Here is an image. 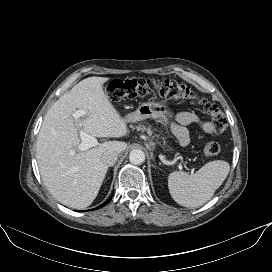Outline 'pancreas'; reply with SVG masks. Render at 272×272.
<instances>
[{
	"label": "pancreas",
	"mask_w": 272,
	"mask_h": 272,
	"mask_svg": "<svg viewBox=\"0 0 272 272\" xmlns=\"http://www.w3.org/2000/svg\"><path fill=\"white\" fill-rule=\"evenodd\" d=\"M137 130H142V131H147L148 135H152V130L150 129V127L146 128L145 126H137Z\"/></svg>",
	"instance_id": "obj_1"
}]
</instances>
